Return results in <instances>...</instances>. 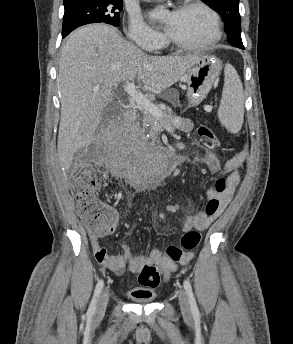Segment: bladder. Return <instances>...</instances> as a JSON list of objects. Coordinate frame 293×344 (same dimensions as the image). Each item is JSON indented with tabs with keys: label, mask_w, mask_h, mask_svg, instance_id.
<instances>
[{
	"label": "bladder",
	"mask_w": 293,
	"mask_h": 344,
	"mask_svg": "<svg viewBox=\"0 0 293 344\" xmlns=\"http://www.w3.org/2000/svg\"><path fill=\"white\" fill-rule=\"evenodd\" d=\"M129 294H131V291H129ZM135 299L141 303H148L151 302L154 299V296L151 294L148 296H142V297H135Z\"/></svg>",
	"instance_id": "bladder-1"
}]
</instances>
